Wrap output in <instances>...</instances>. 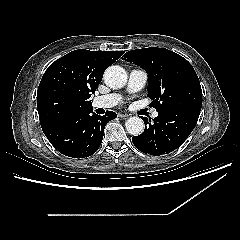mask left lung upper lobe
Listing matches in <instances>:
<instances>
[{
	"label": "left lung upper lobe",
	"instance_id": "5c2ea615",
	"mask_svg": "<svg viewBox=\"0 0 240 240\" xmlns=\"http://www.w3.org/2000/svg\"><path fill=\"white\" fill-rule=\"evenodd\" d=\"M122 59L133 62L148 73V97L158 112L202 106L198 76L182 56L168 49L149 47L131 50Z\"/></svg>",
	"mask_w": 240,
	"mask_h": 240
}]
</instances>
